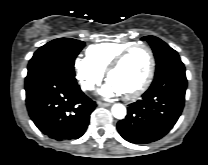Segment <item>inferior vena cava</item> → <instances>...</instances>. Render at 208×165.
Segmentation results:
<instances>
[{
  "label": "inferior vena cava",
  "instance_id": "inferior-vena-cava-1",
  "mask_svg": "<svg viewBox=\"0 0 208 165\" xmlns=\"http://www.w3.org/2000/svg\"><path fill=\"white\" fill-rule=\"evenodd\" d=\"M84 89L93 90V85L92 84H87V85H85Z\"/></svg>",
  "mask_w": 208,
  "mask_h": 165
}]
</instances>
